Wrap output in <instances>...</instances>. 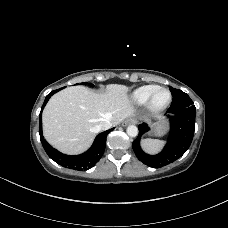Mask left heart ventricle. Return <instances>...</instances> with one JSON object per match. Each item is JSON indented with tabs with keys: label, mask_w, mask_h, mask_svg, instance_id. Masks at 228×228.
<instances>
[{
	"label": "left heart ventricle",
	"mask_w": 228,
	"mask_h": 228,
	"mask_svg": "<svg viewBox=\"0 0 228 228\" xmlns=\"http://www.w3.org/2000/svg\"><path fill=\"white\" fill-rule=\"evenodd\" d=\"M168 93L164 90L160 91L157 93L156 97H155V105L160 106L163 105L167 102L168 100Z\"/></svg>",
	"instance_id": "obj_1"
}]
</instances>
